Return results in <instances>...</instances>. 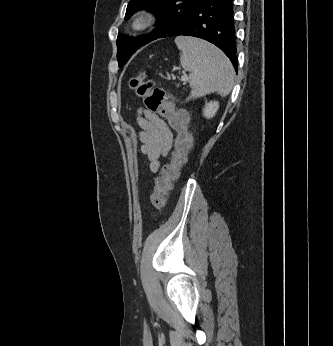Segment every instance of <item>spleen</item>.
<instances>
[{
    "instance_id": "spleen-1",
    "label": "spleen",
    "mask_w": 333,
    "mask_h": 346,
    "mask_svg": "<svg viewBox=\"0 0 333 346\" xmlns=\"http://www.w3.org/2000/svg\"><path fill=\"white\" fill-rule=\"evenodd\" d=\"M181 66L190 72L192 88L187 100L210 93L225 96L234 85V70L229 59L214 45L197 38L177 37Z\"/></svg>"
}]
</instances>
